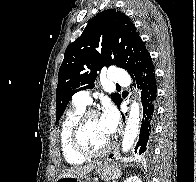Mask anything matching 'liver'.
Wrapping results in <instances>:
<instances>
[{
  "instance_id": "6515ba94",
  "label": "liver",
  "mask_w": 196,
  "mask_h": 182,
  "mask_svg": "<svg viewBox=\"0 0 196 182\" xmlns=\"http://www.w3.org/2000/svg\"><path fill=\"white\" fill-rule=\"evenodd\" d=\"M94 167V163L85 166L71 167L59 177H85L94 169Z\"/></svg>"
}]
</instances>
